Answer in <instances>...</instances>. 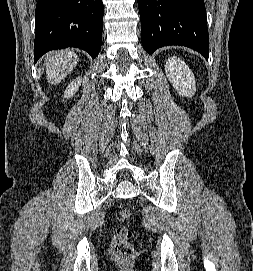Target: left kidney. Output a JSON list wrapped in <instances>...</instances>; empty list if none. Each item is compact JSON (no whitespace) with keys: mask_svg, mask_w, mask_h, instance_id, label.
I'll list each match as a JSON object with an SVG mask.
<instances>
[{"mask_svg":"<svg viewBox=\"0 0 253 271\" xmlns=\"http://www.w3.org/2000/svg\"><path fill=\"white\" fill-rule=\"evenodd\" d=\"M165 73L173 87L179 94L192 97L196 92L195 77L191 69L180 58H168L165 64Z\"/></svg>","mask_w":253,"mask_h":271,"instance_id":"left-kidney-1","label":"left kidney"}]
</instances>
